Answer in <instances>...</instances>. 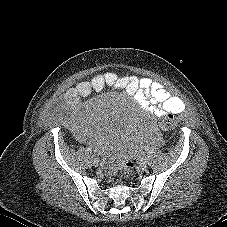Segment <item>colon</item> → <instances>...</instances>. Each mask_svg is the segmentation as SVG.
<instances>
[{
  "label": "colon",
  "instance_id": "1",
  "mask_svg": "<svg viewBox=\"0 0 227 227\" xmlns=\"http://www.w3.org/2000/svg\"><path fill=\"white\" fill-rule=\"evenodd\" d=\"M161 128L167 131H174L180 125V118L174 112H167L161 118ZM133 162H126L122 167V175L127 177L131 174L134 169ZM106 168L109 172H113L115 170V165L112 162H108Z\"/></svg>",
  "mask_w": 227,
  "mask_h": 227
}]
</instances>
